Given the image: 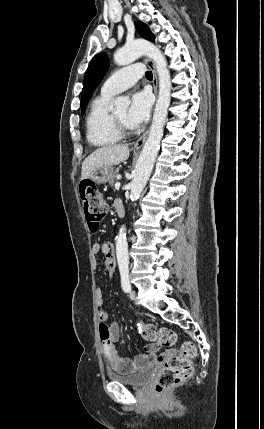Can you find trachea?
<instances>
[{"label":"trachea","instance_id":"1","mask_svg":"<svg viewBox=\"0 0 264 429\" xmlns=\"http://www.w3.org/2000/svg\"><path fill=\"white\" fill-rule=\"evenodd\" d=\"M145 76H146L147 79H152V77H153L151 71H147L146 74H145Z\"/></svg>","mask_w":264,"mask_h":429}]
</instances>
